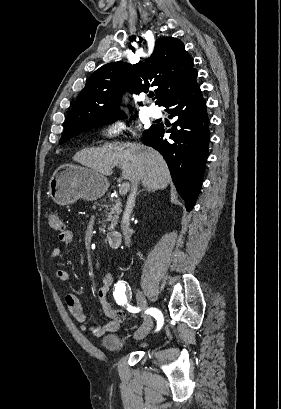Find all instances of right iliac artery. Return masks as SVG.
I'll return each instance as SVG.
<instances>
[{
	"label": "right iliac artery",
	"instance_id": "82829eb1",
	"mask_svg": "<svg viewBox=\"0 0 281 409\" xmlns=\"http://www.w3.org/2000/svg\"><path fill=\"white\" fill-rule=\"evenodd\" d=\"M113 296L116 300V303L119 305H128L129 300L132 297L131 288L125 281L120 280L115 284V288L113 291ZM129 306V305H128ZM146 313L151 314L157 320V330L162 327L163 324V316L161 312L156 308H150L146 310Z\"/></svg>",
	"mask_w": 281,
	"mask_h": 409
}]
</instances>
